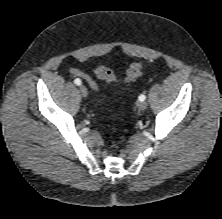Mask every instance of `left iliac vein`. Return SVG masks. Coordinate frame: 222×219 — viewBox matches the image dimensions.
Here are the masks:
<instances>
[{"mask_svg": "<svg viewBox=\"0 0 222 219\" xmlns=\"http://www.w3.org/2000/svg\"><path fill=\"white\" fill-rule=\"evenodd\" d=\"M136 105L140 110H145L147 108V102L145 101H138Z\"/></svg>", "mask_w": 222, "mask_h": 219, "instance_id": "1", "label": "left iliac vein"}]
</instances>
